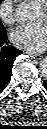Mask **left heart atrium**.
Instances as JSON below:
<instances>
[{
  "label": "left heart atrium",
  "instance_id": "left-heart-atrium-1",
  "mask_svg": "<svg viewBox=\"0 0 47 129\" xmlns=\"http://www.w3.org/2000/svg\"><path fill=\"white\" fill-rule=\"evenodd\" d=\"M46 26L41 23H28L16 27L11 35L12 42L28 51H41L46 44Z\"/></svg>",
  "mask_w": 47,
  "mask_h": 129
}]
</instances>
